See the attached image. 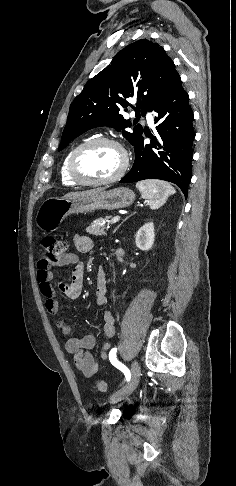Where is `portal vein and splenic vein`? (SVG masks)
Returning a JSON list of instances; mask_svg holds the SVG:
<instances>
[{"mask_svg": "<svg viewBox=\"0 0 236 486\" xmlns=\"http://www.w3.org/2000/svg\"><path fill=\"white\" fill-rule=\"evenodd\" d=\"M119 220H120V217H119V216H116V217H114V218L111 220V223H112V224H113V223H116V222H118Z\"/></svg>", "mask_w": 236, "mask_h": 486, "instance_id": "18ae733b", "label": "portal vein and splenic vein"}]
</instances>
